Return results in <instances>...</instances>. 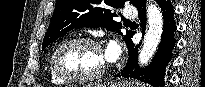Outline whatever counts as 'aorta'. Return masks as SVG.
Wrapping results in <instances>:
<instances>
[{"label":"aorta","mask_w":205,"mask_h":87,"mask_svg":"<svg viewBox=\"0 0 205 87\" xmlns=\"http://www.w3.org/2000/svg\"><path fill=\"white\" fill-rule=\"evenodd\" d=\"M148 30L144 36L143 47L139 54L140 65H146L154 55L163 32V16L153 3L147 8Z\"/></svg>","instance_id":"762f6f07"}]
</instances>
